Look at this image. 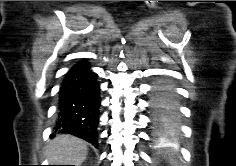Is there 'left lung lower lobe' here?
Masks as SVG:
<instances>
[{
	"instance_id": "0a47b994",
	"label": "left lung lower lobe",
	"mask_w": 236,
	"mask_h": 166,
	"mask_svg": "<svg viewBox=\"0 0 236 166\" xmlns=\"http://www.w3.org/2000/svg\"><path fill=\"white\" fill-rule=\"evenodd\" d=\"M150 110L156 140L159 143L172 140L177 133L178 105L175 91L169 83L155 85Z\"/></svg>"
}]
</instances>
